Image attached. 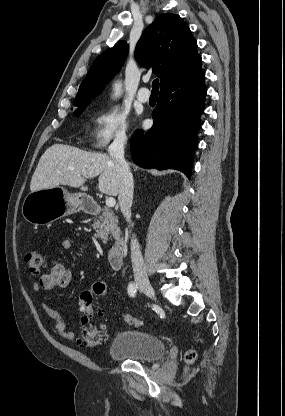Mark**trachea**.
I'll return each mask as SVG.
<instances>
[{"instance_id": "obj_1", "label": "trachea", "mask_w": 285, "mask_h": 416, "mask_svg": "<svg viewBox=\"0 0 285 416\" xmlns=\"http://www.w3.org/2000/svg\"><path fill=\"white\" fill-rule=\"evenodd\" d=\"M158 91H159V80H158V78H156L152 82V92H158Z\"/></svg>"}]
</instances>
